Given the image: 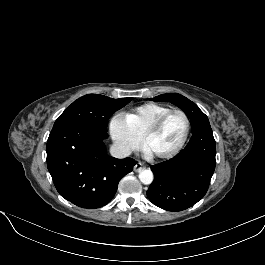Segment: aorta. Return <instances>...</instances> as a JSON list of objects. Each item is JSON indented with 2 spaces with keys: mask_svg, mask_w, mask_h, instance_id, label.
Instances as JSON below:
<instances>
[{
  "mask_svg": "<svg viewBox=\"0 0 265 265\" xmlns=\"http://www.w3.org/2000/svg\"><path fill=\"white\" fill-rule=\"evenodd\" d=\"M153 178L154 176L151 170L146 169L139 173V179L145 185L151 184L153 181Z\"/></svg>",
  "mask_w": 265,
  "mask_h": 265,
  "instance_id": "aorta-1",
  "label": "aorta"
}]
</instances>
